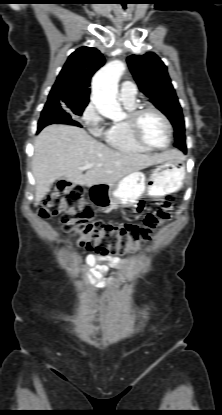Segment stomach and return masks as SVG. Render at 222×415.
<instances>
[{
    "mask_svg": "<svg viewBox=\"0 0 222 415\" xmlns=\"http://www.w3.org/2000/svg\"><path fill=\"white\" fill-rule=\"evenodd\" d=\"M185 176L183 158H174L156 164L148 175L136 171L112 185H93L89 193L93 203L101 208L130 207L145 193L159 198L178 191L184 184Z\"/></svg>",
    "mask_w": 222,
    "mask_h": 415,
    "instance_id": "0dacf381",
    "label": "stomach"
}]
</instances>
